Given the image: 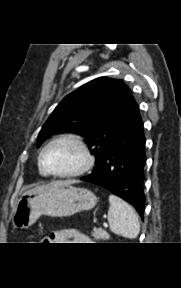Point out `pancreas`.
Returning a JSON list of instances; mask_svg holds the SVG:
<instances>
[{
    "mask_svg": "<svg viewBox=\"0 0 181 288\" xmlns=\"http://www.w3.org/2000/svg\"><path fill=\"white\" fill-rule=\"evenodd\" d=\"M92 237L95 240H106L109 239V234L101 228H95L92 232Z\"/></svg>",
    "mask_w": 181,
    "mask_h": 288,
    "instance_id": "obj_1",
    "label": "pancreas"
}]
</instances>
